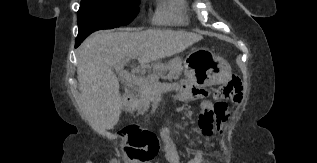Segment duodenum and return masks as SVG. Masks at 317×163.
I'll list each match as a JSON object with an SVG mask.
<instances>
[{
  "label": "duodenum",
  "instance_id": "1",
  "mask_svg": "<svg viewBox=\"0 0 317 163\" xmlns=\"http://www.w3.org/2000/svg\"><path fill=\"white\" fill-rule=\"evenodd\" d=\"M134 100V93L132 91H127L124 93L123 95V105L125 107L130 106V104L133 102Z\"/></svg>",
  "mask_w": 317,
  "mask_h": 163
}]
</instances>
